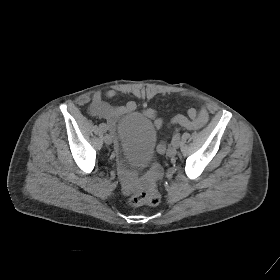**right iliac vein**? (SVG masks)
Returning a JSON list of instances; mask_svg holds the SVG:
<instances>
[{
	"label": "right iliac vein",
	"instance_id": "obj_1",
	"mask_svg": "<svg viewBox=\"0 0 280 280\" xmlns=\"http://www.w3.org/2000/svg\"><path fill=\"white\" fill-rule=\"evenodd\" d=\"M104 142H105L107 145L112 144V142H113V137H112L111 135H109V134H106V135L104 136Z\"/></svg>",
	"mask_w": 280,
	"mask_h": 280
}]
</instances>
